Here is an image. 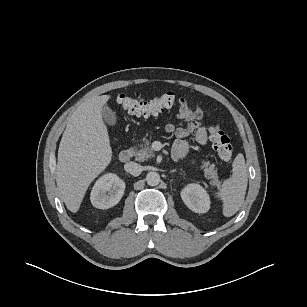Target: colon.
Returning a JSON list of instances; mask_svg holds the SVG:
<instances>
[{"label": "colon", "mask_w": 307, "mask_h": 307, "mask_svg": "<svg viewBox=\"0 0 307 307\" xmlns=\"http://www.w3.org/2000/svg\"><path fill=\"white\" fill-rule=\"evenodd\" d=\"M176 100V96L172 92L146 101L137 100L126 94L117 97V102L124 110L131 114L143 116L156 115L172 107ZM209 133L213 148L219 158L224 163L230 164L233 160V147L229 137L218 126L212 127Z\"/></svg>", "instance_id": "1"}]
</instances>
